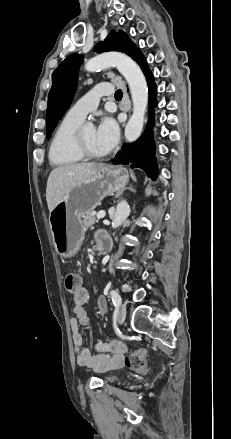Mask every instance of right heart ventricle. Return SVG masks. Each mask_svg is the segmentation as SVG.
I'll return each mask as SVG.
<instances>
[{
    "label": "right heart ventricle",
    "mask_w": 231,
    "mask_h": 439,
    "mask_svg": "<svg viewBox=\"0 0 231 439\" xmlns=\"http://www.w3.org/2000/svg\"><path fill=\"white\" fill-rule=\"evenodd\" d=\"M81 121L67 116L57 126L48 150V158L55 167H70L83 160L73 143L75 132L80 128Z\"/></svg>",
    "instance_id": "obj_1"
}]
</instances>
